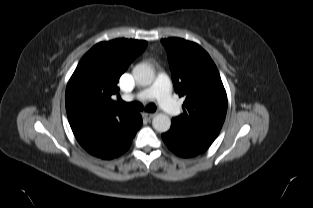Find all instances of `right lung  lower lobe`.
I'll return each mask as SVG.
<instances>
[{"instance_id": "right-lung-lower-lobe-1", "label": "right lung lower lobe", "mask_w": 313, "mask_h": 208, "mask_svg": "<svg viewBox=\"0 0 313 208\" xmlns=\"http://www.w3.org/2000/svg\"><path fill=\"white\" fill-rule=\"evenodd\" d=\"M141 125L142 118L137 112L125 119L106 117L70 123L80 145L101 159H113L126 152Z\"/></svg>"}]
</instances>
